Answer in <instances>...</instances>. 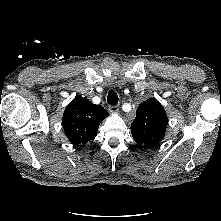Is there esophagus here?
<instances>
[{
  "mask_svg": "<svg viewBox=\"0 0 221 221\" xmlns=\"http://www.w3.org/2000/svg\"><path fill=\"white\" fill-rule=\"evenodd\" d=\"M109 111L111 113H118L119 112V107L118 106H110Z\"/></svg>",
  "mask_w": 221,
  "mask_h": 221,
  "instance_id": "obj_1",
  "label": "esophagus"
}]
</instances>
